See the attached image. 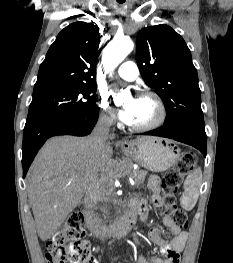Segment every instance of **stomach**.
I'll return each instance as SVG.
<instances>
[{
	"mask_svg": "<svg viewBox=\"0 0 233 263\" xmlns=\"http://www.w3.org/2000/svg\"><path fill=\"white\" fill-rule=\"evenodd\" d=\"M122 151L153 172L171 168L180 156V149L173 142L157 137H138L126 142Z\"/></svg>",
	"mask_w": 233,
	"mask_h": 263,
	"instance_id": "stomach-1",
	"label": "stomach"
}]
</instances>
